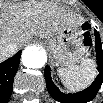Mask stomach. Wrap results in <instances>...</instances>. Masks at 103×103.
<instances>
[{
    "label": "stomach",
    "instance_id": "stomach-1",
    "mask_svg": "<svg viewBox=\"0 0 103 103\" xmlns=\"http://www.w3.org/2000/svg\"><path fill=\"white\" fill-rule=\"evenodd\" d=\"M85 30L82 23L64 27L52 36L46 37V43L58 66H72L83 59L88 52Z\"/></svg>",
    "mask_w": 103,
    "mask_h": 103
}]
</instances>
